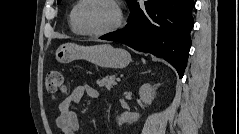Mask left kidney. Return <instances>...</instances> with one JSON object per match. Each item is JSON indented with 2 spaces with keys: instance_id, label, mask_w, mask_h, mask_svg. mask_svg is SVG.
<instances>
[{
  "instance_id": "obj_1",
  "label": "left kidney",
  "mask_w": 239,
  "mask_h": 134,
  "mask_svg": "<svg viewBox=\"0 0 239 134\" xmlns=\"http://www.w3.org/2000/svg\"><path fill=\"white\" fill-rule=\"evenodd\" d=\"M139 96L144 104L150 105L155 97V88L148 83L143 84L139 89ZM139 118V113L123 112L118 117V124L133 123L138 121Z\"/></svg>"
}]
</instances>
